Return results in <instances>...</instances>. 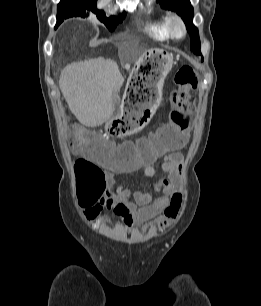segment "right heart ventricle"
<instances>
[{
	"label": "right heart ventricle",
	"instance_id": "1",
	"mask_svg": "<svg viewBox=\"0 0 261 306\" xmlns=\"http://www.w3.org/2000/svg\"><path fill=\"white\" fill-rule=\"evenodd\" d=\"M144 30L158 40H167L171 38L169 30V17L161 14L150 18L145 23Z\"/></svg>",
	"mask_w": 261,
	"mask_h": 306
}]
</instances>
